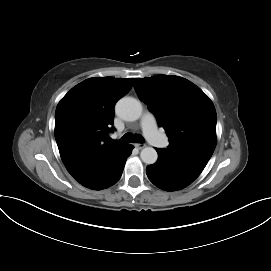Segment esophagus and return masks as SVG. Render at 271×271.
<instances>
[{"label":"esophagus","mask_w":271,"mask_h":271,"mask_svg":"<svg viewBox=\"0 0 271 271\" xmlns=\"http://www.w3.org/2000/svg\"><path fill=\"white\" fill-rule=\"evenodd\" d=\"M135 147L141 150V149L145 148L146 145L144 143H137V144H135Z\"/></svg>","instance_id":"1"}]
</instances>
